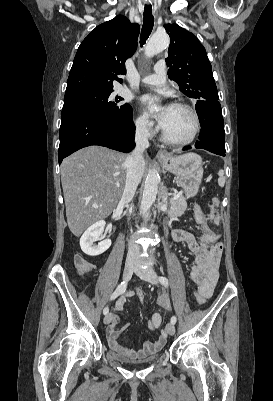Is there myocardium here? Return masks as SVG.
Listing matches in <instances>:
<instances>
[{
  "label": "myocardium",
  "mask_w": 273,
  "mask_h": 401,
  "mask_svg": "<svg viewBox=\"0 0 273 401\" xmlns=\"http://www.w3.org/2000/svg\"><path fill=\"white\" fill-rule=\"evenodd\" d=\"M172 107L182 109L192 117V119L194 121V125H195L194 132L187 139H176V138L170 137L162 128L161 133H162L163 141L168 144H172V145H187V144L192 143L199 136V134L201 132V128H202L201 119H200L198 113L191 106L184 104V103H180V102L174 103L172 105Z\"/></svg>",
  "instance_id": "f54148a6"
}]
</instances>
